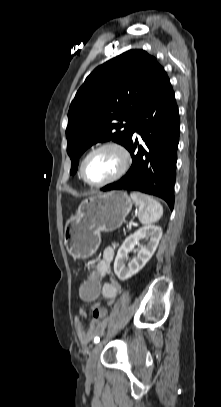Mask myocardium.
Masks as SVG:
<instances>
[{
    "label": "myocardium",
    "instance_id": "obj_1",
    "mask_svg": "<svg viewBox=\"0 0 221 407\" xmlns=\"http://www.w3.org/2000/svg\"><path fill=\"white\" fill-rule=\"evenodd\" d=\"M105 149H113V150L117 151L122 158V165H121L119 171L115 175L110 177L109 179L104 180L102 182H97V183L91 182L87 179L86 174H85L86 163L92 155H94L95 153H97L99 151L105 150ZM131 164H132V156H131V153L128 150V148L119 142L110 141V142H106V143H103V144L95 147L84 157V159L82 160L81 165H80V175H81L82 180L89 186L103 187V186L109 185V184L119 180L120 178H122L130 169Z\"/></svg>",
    "mask_w": 221,
    "mask_h": 407
}]
</instances>
